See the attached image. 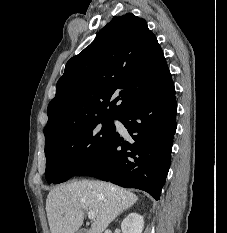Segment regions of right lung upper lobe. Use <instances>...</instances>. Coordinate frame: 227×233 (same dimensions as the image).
<instances>
[{"label":"right lung upper lobe","mask_w":227,"mask_h":233,"mask_svg":"<svg viewBox=\"0 0 227 233\" xmlns=\"http://www.w3.org/2000/svg\"><path fill=\"white\" fill-rule=\"evenodd\" d=\"M171 81L164 54L144 19L114 17L71 58L47 108L46 143L79 125L117 119Z\"/></svg>","instance_id":"1"}]
</instances>
